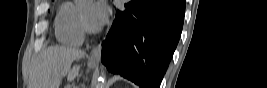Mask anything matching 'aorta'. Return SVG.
Instances as JSON below:
<instances>
[{
    "instance_id": "obj_1",
    "label": "aorta",
    "mask_w": 267,
    "mask_h": 88,
    "mask_svg": "<svg viewBox=\"0 0 267 88\" xmlns=\"http://www.w3.org/2000/svg\"><path fill=\"white\" fill-rule=\"evenodd\" d=\"M76 2H81L82 0H75ZM106 68H101V74L98 77L96 83L93 85L94 88H103L106 84V76H105Z\"/></svg>"
}]
</instances>
